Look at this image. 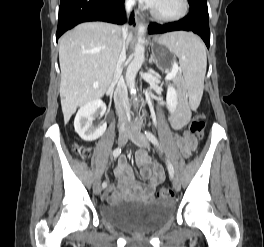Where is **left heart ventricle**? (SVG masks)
I'll list each match as a JSON object with an SVG mask.
<instances>
[{"label": "left heart ventricle", "instance_id": "obj_1", "mask_svg": "<svg viewBox=\"0 0 264 247\" xmlns=\"http://www.w3.org/2000/svg\"><path fill=\"white\" fill-rule=\"evenodd\" d=\"M154 9L161 15H172L181 9L180 0H159Z\"/></svg>", "mask_w": 264, "mask_h": 247}]
</instances>
